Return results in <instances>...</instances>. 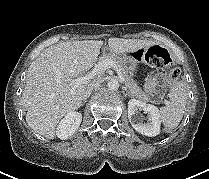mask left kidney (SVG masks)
Segmentation results:
<instances>
[{"label": "left kidney", "instance_id": "left-kidney-1", "mask_svg": "<svg viewBox=\"0 0 209 179\" xmlns=\"http://www.w3.org/2000/svg\"><path fill=\"white\" fill-rule=\"evenodd\" d=\"M138 110L148 113L149 123H143L140 116L137 115ZM128 118L132 127L139 133L153 137L160 133V115L156 106L146 104L145 102L131 99L128 102Z\"/></svg>", "mask_w": 209, "mask_h": 179}]
</instances>
